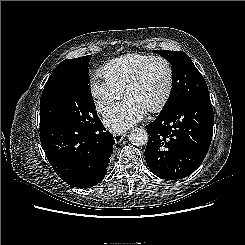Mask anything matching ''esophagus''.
Returning a JSON list of instances; mask_svg holds the SVG:
<instances>
[{
	"label": "esophagus",
	"mask_w": 245,
	"mask_h": 245,
	"mask_svg": "<svg viewBox=\"0 0 245 245\" xmlns=\"http://www.w3.org/2000/svg\"><path fill=\"white\" fill-rule=\"evenodd\" d=\"M125 137V134L122 133H116L114 134V140L116 143H120Z\"/></svg>",
	"instance_id": "esophagus-1"
}]
</instances>
